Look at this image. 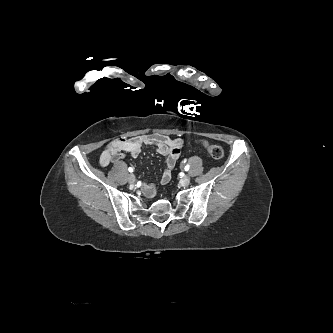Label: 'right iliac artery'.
Wrapping results in <instances>:
<instances>
[{
	"label": "right iliac artery",
	"instance_id": "82829eb1",
	"mask_svg": "<svg viewBox=\"0 0 333 333\" xmlns=\"http://www.w3.org/2000/svg\"><path fill=\"white\" fill-rule=\"evenodd\" d=\"M128 170H129V172H131V173L133 172V168H132V167H129Z\"/></svg>",
	"mask_w": 333,
	"mask_h": 333
}]
</instances>
